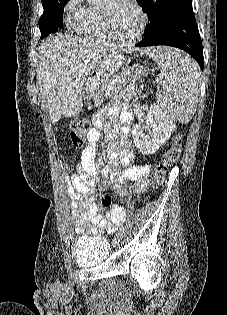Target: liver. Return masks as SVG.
Here are the masks:
<instances>
[{
  "label": "liver",
  "instance_id": "obj_1",
  "mask_svg": "<svg viewBox=\"0 0 227 315\" xmlns=\"http://www.w3.org/2000/svg\"><path fill=\"white\" fill-rule=\"evenodd\" d=\"M114 54L119 55V51L111 43L61 33L41 43L37 79L52 123L58 122L62 115H79L89 76L93 72L102 74Z\"/></svg>",
  "mask_w": 227,
  "mask_h": 315
}]
</instances>
